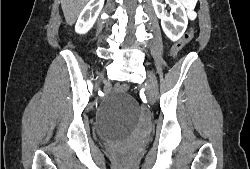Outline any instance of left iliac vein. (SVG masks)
Here are the masks:
<instances>
[{
  "label": "left iliac vein",
  "mask_w": 250,
  "mask_h": 169,
  "mask_svg": "<svg viewBox=\"0 0 250 169\" xmlns=\"http://www.w3.org/2000/svg\"><path fill=\"white\" fill-rule=\"evenodd\" d=\"M145 83L148 85L147 97L150 103H153L158 94V86L156 76L147 71Z\"/></svg>",
  "instance_id": "1"
}]
</instances>
